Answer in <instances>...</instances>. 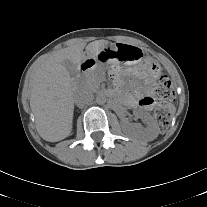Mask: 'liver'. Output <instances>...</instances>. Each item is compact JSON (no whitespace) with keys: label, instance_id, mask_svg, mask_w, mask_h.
Segmentation results:
<instances>
[{"label":"liver","instance_id":"obj_1","mask_svg":"<svg viewBox=\"0 0 207 207\" xmlns=\"http://www.w3.org/2000/svg\"><path fill=\"white\" fill-rule=\"evenodd\" d=\"M109 44L106 40L93 41L86 48L82 42L74 44L50 55L34 70L30 77V108L36 129L44 140L58 142L72 131L77 92L63 62L69 60L79 65L95 60Z\"/></svg>","mask_w":207,"mask_h":207}]
</instances>
